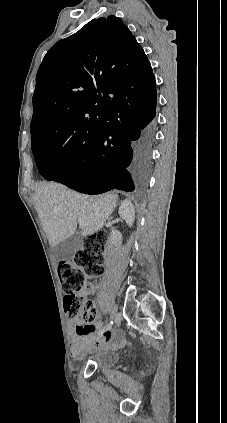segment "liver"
I'll list each match as a JSON object with an SVG mask.
<instances>
[{
  "label": "liver",
  "mask_w": 227,
  "mask_h": 423,
  "mask_svg": "<svg viewBox=\"0 0 227 423\" xmlns=\"http://www.w3.org/2000/svg\"><path fill=\"white\" fill-rule=\"evenodd\" d=\"M36 211L52 247L74 235L79 223L81 235L96 233L115 210L117 194L84 196L62 184H39L34 194Z\"/></svg>",
  "instance_id": "6515ba94"
}]
</instances>
